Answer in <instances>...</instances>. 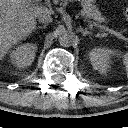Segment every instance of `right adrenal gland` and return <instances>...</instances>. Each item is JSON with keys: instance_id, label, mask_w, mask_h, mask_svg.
<instances>
[{"instance_id": "obj_1", "label": "right adrenal gland", "mask_w": 128, "mask_h": 128, "mask_svg": "<svg viewBox=\"0 0 128 128\" xmlns=\"http://www.w3.org/2000/svg\"><path fill=\"white\" fill-rule=\"evenodd\" d=\"M47 25H43V26H38L34 29V31H36L37 29H45Z\"/></svg>"}]
</instances>
